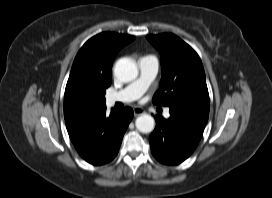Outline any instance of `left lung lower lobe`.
<instances>
[{"instance_id":"left-lung-lower-lobe-1","label":"left lung lower lobe","mask_w":272,"mask_h":198,"mask_svg":"<svg viewBox=\"0 0 272 198\" xmlns=\"http://www.w3.org/2000/svg\"><path fill=\"white\" fill-rule=\"evenodd\" d=\"M209 113L182 107H170V117L156 116V128L149 142L154 157L161 163L176 165L187 159L197 147Z\"/></svg>"}]
</instances>
